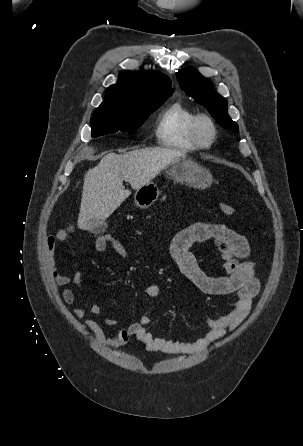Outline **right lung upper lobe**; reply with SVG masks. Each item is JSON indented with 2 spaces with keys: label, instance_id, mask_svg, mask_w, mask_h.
<instances>
[{
  "label": "right lung upper lobe",
  "instance_id": "cb5924a9",
  "mask_svg": "<svg viewBox=\"0 0 303 446\" xmlns=\"http://www.w3.org/2000/svg\"><path fill=\"white\" fill-rule=\"evenodd\" d=\"M173 92L166 75L156 71H125L119 75L117 84L107 88L98 109L142 111L164 103Z\"/></svg>",
  "mask_w": 303,
  "mask_h": 446
}]
</instances>
